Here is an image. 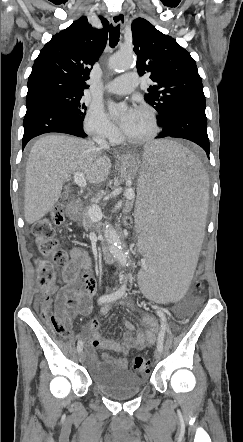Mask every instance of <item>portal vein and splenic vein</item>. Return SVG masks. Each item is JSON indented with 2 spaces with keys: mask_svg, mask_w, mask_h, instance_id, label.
<instances>
[{
  "mask_svg": "<svg viewBox=\"0 0 243 442\" xmlns=\"http://www.w3.org/2000/svg\"><path fill=\"white\" fill-rule=\"evenodd\" d=\"M74 181L80 187H85L86 186L85 175H84V173H82L80 171L74 172ZM124 196L128 200H133L134 197H135V192H134L133 189L129 188V189L126 190ZM88 214H89V217L93 221H98V220H100L102 218L101 209L97 205H93L92 207H90V209L88 211Z\"/></svg>",
  "mask_w": 243,
  "mask_h": 442,
  "instance_id": "portal-vein-and-splenic-vein-1",
  "label": "portal vein and splenic vein"
}]
</instances>
